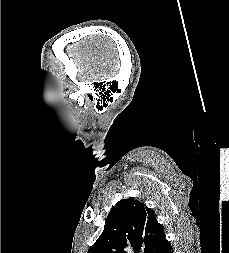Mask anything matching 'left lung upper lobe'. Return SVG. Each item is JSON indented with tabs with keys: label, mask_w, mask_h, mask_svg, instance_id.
Wrapping results in <instances>:
<instances>
[{
	"label": "left lung upper lobe",
	"mask_w": 229,
	"mask_h": 253,
	"mask_svg": "<svg viewBox=\"0 0 229 253\" xmlns=\"http://www.w3.org/2000/svg\"><path fill=\"white\" fill-rule=\"evenodd\" d=\"M165 237L154 212L143 202L122 199L113 206L105 220L102 234L88 253H154Z\"/></svg>",
	"instance_id": "obj_1"
}]
</instances>
